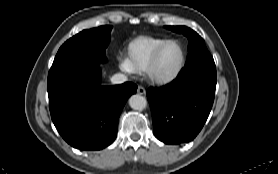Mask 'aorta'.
I'll return each mask as SVG.
<instances>
[{
  "label": "aorta",
  "mask_w": 278,
  "mask_h": 174,
  "mask_svg": "<svg viewBox=\"0 0 278 174\" xmlns=\"http://www.w3.org/2000/svg\"><path fill=\"white\" fill-rule=\"evenodd\" d=\"M129 105L134 110H144L147 106V100L145 97L135 94L129 98Z\"/></svg>",
  "instance_id": "aorta-1"
}]
</instances>
